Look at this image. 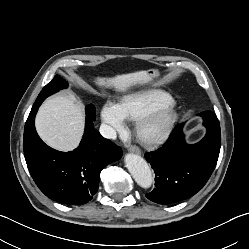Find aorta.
<instances>
[{
  "label": "aorta",
  "mask_w": 249,
  "mask_h": 249,
  "mask_svg": "<svg viewBox=\"0 0 249 249\" xmlns=\"http://www.w3.org/2000/svg\"><path fill=\"white\" fill-rule=\"evenodd\" d=\"M124 161L135 182L144 189L150 188L153 176L147 162L141 156L133 153L126 154Z\"/></svg>",
  "instance_id": "aorta-1"
}]
</instances>
